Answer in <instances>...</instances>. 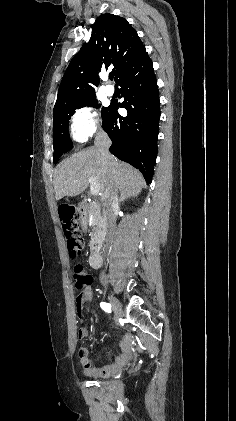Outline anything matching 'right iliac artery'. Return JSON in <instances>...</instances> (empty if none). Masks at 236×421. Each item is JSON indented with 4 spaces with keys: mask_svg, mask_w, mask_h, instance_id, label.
I'll return each instance as SVG.
<instances>
[{
    "mask_svg": "<svg viewBox=\"0 0 236 421\" xmlns=\"http://www.w3.org/2000/svg\"><path fill=\"white\" fill-rule=\"evenodd\" d=\"M100 307H101L104 311H106V312H108V313H111V304H109V303H105V302H101V303H100Z\"/></svg>",
    "mask_w": 236,
    "mask_h": 421,
    "instance_id": "obj_1",
    "label": "right iliac artery"
}]
</instances>
